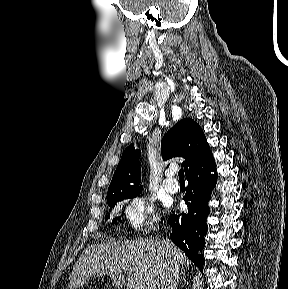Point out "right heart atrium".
<instances>
[{"label": "right heart atrium", "mask_w": 288, "mask_h": 289, "mask_svg": "<svg viewBox=\"0 0 288 289\" xmlns=\"http://www.w3.org/2000/svg\"><path fill=\"white\" fill-rule=\"evenodd\" d=\"M152 204L144 197L133 198L125 208L126 217L132 227L140 229L151 225L154 218Z\"/></svg>", "instance_id": "obj_1"}]
</instances>
